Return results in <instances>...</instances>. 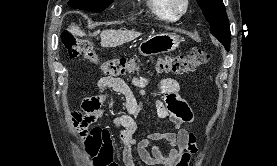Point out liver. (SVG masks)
Here are the masks:
<instances>
[{"label": "liver", "mask_w": 277, "mask_h": 166, "mask_svg": "<svg viewBox=\"0 0 277 166\" xmlns=\"http://www.w3.org/2000/svg\"><path fill=\"white\" fill-rule=\"evenodd\" d=\"M68 31L76 36H85V33L75 24L69 26ZM140 35L141 33L131 30H103L100 33V44L102 47H116L126 42H130L139 37Z\"/></svg>", "instance_id": "1"}]
</instances>
